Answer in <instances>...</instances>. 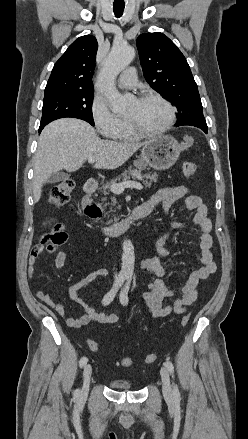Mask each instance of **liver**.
<instances>
[{
    "instance_id": "6515ba94",
    "label": "liver",
    "mask_w": 248,
    "mask_h": 439,
    "mask_svg": "<svg viewBox=\"0 0 248 439\" xmlns=\"http://www.w3.org/2000/svg\"><path fill=\"white\" fill-rule=\"evenodd\" d=\"M146 143L100 139L87 122L62 118L48 124L40 134L34 156L33 199L38 202L42 185L60 170L75 172L86 160L97 169H116Z\"/></svg>"
}]
</instances>
